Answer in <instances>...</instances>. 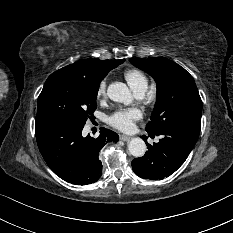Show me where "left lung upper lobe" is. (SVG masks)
<instances>
[{
    "label": "left lung upper lobe",
    "instance_id": "1",
    "mask_svg": "<svg viewBox=\"0 0 233 233\" xmlns=\"http://www.w3.org/2000/svg\"><path fill=\"white\" fill-rule=\"evenodd\" d=\"M130 62L150 74L157 85V99L147 132L165 131L180 120L202 114V101L193 77L177 63L163 57Z\"/></svg>",
    "mask_w": 233,
    "mask_h": 233
}]
</instances>
